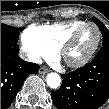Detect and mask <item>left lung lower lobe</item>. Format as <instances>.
<instances>
[{
  "label": "left lung lower lobe",
  "mask_w": 109,
  "mask_h": 109,
  "mask_svg": "<svg viewBox=\"0 0 109 109\" xmlns=\"http://www.w3.org/2000/svg\"><path fill=\"white\" fill-rule=\"evenodd\" d=\"M61 77V87L51 93L58 109L99 108L109 98V45L90 63Z\"/></svg>",
  "instance_id": "obj_1"
}]
</instances>
